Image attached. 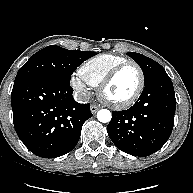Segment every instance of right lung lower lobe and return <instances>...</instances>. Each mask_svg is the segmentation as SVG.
<instances>
[{"mask_svg": "<svg viewBox=\"0 0 193 193\" xmlns=\"http://www.w3.org/2000/svg\"><path fill=\"white\" fill-rule=\"evenodd\" d=\"M73 89L49 78L14 83L11 104L15 130L24 145L43 158L62 156L77 144L90 104L77 103Z\"/></svg>", "mask_w": 193, "mask_h": 193, "instance_id": "right-lung-lower-lobe-1", "label": "right lung lower lobe"}]
</instances>
